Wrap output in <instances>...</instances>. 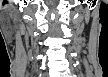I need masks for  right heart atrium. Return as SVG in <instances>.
<instances>
[{
    "label": "right heart atrium",
    "instance_id": "1",
    "mask_svg": "<svg viewBox=\"0 0 108 77\" xmlns=\"http://www.w3.org/2000/svg\"><path fill=\"white\" fill-rule=\"evenodd\" d=\"M10 73L14 74V73H16V72H10Z\"/></svg>",
    "mask_w": 108,
    "mask_h": 77
}]
</instances>
